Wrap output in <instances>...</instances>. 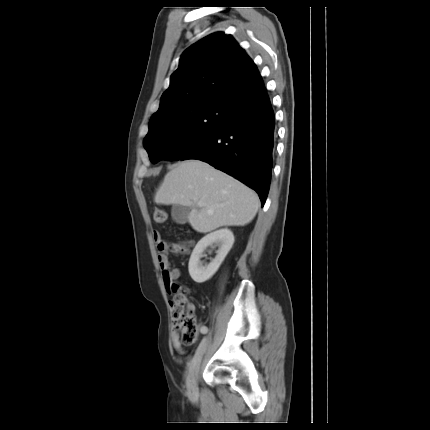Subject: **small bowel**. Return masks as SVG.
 <instances>
[{"label": "small bowel", "instance_id": "c3829d8e", "mask_svg": "<svg viewBox=\"0 0 430 430\" xmlns=\"http://www.w3.org/2000/svg\"><path fill=\"white\" fill-rule=\"evenodd\" d=\"M154 240L157 243V248L161 252L158 255V263L162 271V281L165 285L167 291H172L174 289L175 280L179 279L181 272L178 268H173L171 270L167 269L168 260L165 257L163 251L167 248V243L162 239L159 233H154ZM201 334H206L208 332V327L206 325H201L199 328ZM171 341L174 349L178 352H182V346L179 340V334L173 328L171 332Z\"/></svg>", "mask_w": 430, "mask_h": 430}]
</instances>
